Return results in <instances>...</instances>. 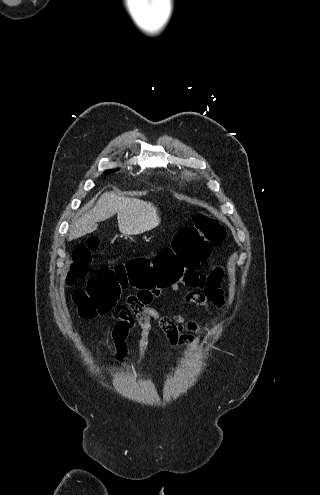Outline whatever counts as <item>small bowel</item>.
I'll use <instances>...</instances> for the list:
<instances>
[{
    "label": "small bowel",
    "instance_id": "c3829d8e",
    "mask_svg": "<svg viewBox=\"0 0 320 495\" xmlns=\"http://www.w3.org/2000/svg\"><path fill=\"white\" fill-rule=\"evenodd\" d=\"M223 278L222 268L214 269L209 275L196 271L184 273L178 281L172 283L169 287L173 291H178L180 286H186L191 290L184 296L187 305H197L203 307L209 312L211 302L220 303L223 300V293L220 289V283ZM160 293V292H159ZM159 293L145 291L148 296L147 302L140 303L135 298L129 296L126 305L117 311H112L116 323L112 330V337L120 353L125 350V340L129 332L138 326L141 330V337L138 342V362L143 359L147 346L148 337L151 330V321L157 320L160 328L165 332L171 347L184 346L195 341L197 335L201 332L198 324L187 318L184 314H174L170 317L163 316L151 306L153 299L159 296Z\"/></svg>",
    "mask_w": 320,
    "mask_h": 495
}]
</instances>
